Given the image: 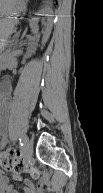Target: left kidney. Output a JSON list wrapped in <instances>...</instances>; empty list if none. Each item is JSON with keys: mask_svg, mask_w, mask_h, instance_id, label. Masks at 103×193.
Instances as JSON below:
<instances>
[{"mask_svg": "<svg viewBox=\"0 0 103 193\" xmlns=\"http://www.w3.org/2000/svg\"><path fill=\"white\" fill-rule=\"evenodd\" d=\"M52 9L50 7H45L41 10H39L36 15L37 16H47V21H48V25L46 27V29L44 30L43 32V38H42V44L43 46L46 44V42L48 41L49 37H50V34H51V30H52ZM39 17H36V18H32L31 20V24H30V27L32 29H37L36 25L39 21Z\"/></svg>", "mask_w": 103, "mask_h": 193, "instance_id": "obj_1", "label": "left kidney"}]
</instances>
